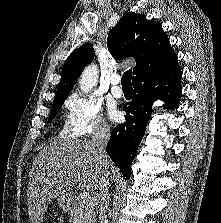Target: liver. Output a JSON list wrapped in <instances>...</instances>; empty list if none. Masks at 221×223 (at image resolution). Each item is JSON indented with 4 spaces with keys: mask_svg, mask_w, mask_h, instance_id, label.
<instances>
[{
    "mask_svg": "<svg viewBox=\"0 0 221 223\" xmlns=\"http://www.w3.org/2000/svg\"><path fill=\"white\" fill-rule=\"evenodd\" d=\"M110 161L107 158V171ZM101 169L92 140H57L36 156L28 185L30 223H41L48 204L59 195L79 187L83 191L99 187Z\"/></svg>",
    "mask_w": 221,
    "mask_h": 223,
    "instance_id": "obj_1",
    "label": "liver"
}]
</instances>
